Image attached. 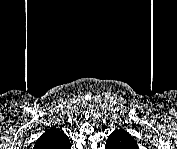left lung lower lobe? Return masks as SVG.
Wrapping results in <instances>:
<instances>
[{
  "mask_svg": "<svg viewBox=\"0 0 177 149\" xmlns=\"http://www.w3.org/2000/svg\"><path fill=\"white\" fill-rule=\"evenodd\" d=\"M126 141H127V139L124 138L123 134H116V135L109 136L106 141V148L126 149L127 148L125 145Z\"/></svg>",
  "mask_w": 177,
  "mask_h": 149,
  "instance_id": "obj_1",
  "label": "left lung lower lobe"
}]
</instances>
